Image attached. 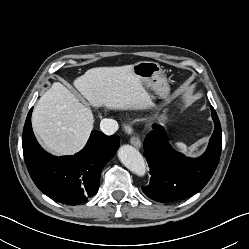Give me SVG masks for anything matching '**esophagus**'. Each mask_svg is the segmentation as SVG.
Instances as JSON below:
<instances>
[{
	"mask_svg": "<svg viewBox=\"0 0 249 249\" xmlns=\"http://www.w3.org/2000/svg\"><path fill=\"white\" fill-rule=\"evenodd\" d=\"M130 143L134 146V147H136V148H140L141 147V141H140V139L138 138V137H132L131 139H130Z\"/></svg>",
	"mask_w": 249,
	"mask_h": 249,
	"instance_id": "34e87169",
	"label": "esophagus"
}]
</instances>
